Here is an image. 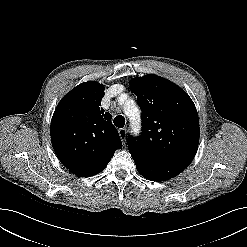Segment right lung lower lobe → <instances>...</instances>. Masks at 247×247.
<instances>
[{"label": "right lung lower lobe", "instance_id": "98d812e1", "mask_svg": "<svg viewBox=\"0 0 247 247\" xmlns=\"http://www.w3.org/2000/svg\"><path fill=\"white\" fill-rule=\"evenodd\" d=\"M106 166H107V165H106ZM106 166H103V167H101V168H99V169H96V170H93V171H90V172H88V173L81 174V175H78V176L83 177V176H92V175H95V174L101 172Z\"/></svg>", "mask_w": 247, "mask_h": 247}]
</instances>
